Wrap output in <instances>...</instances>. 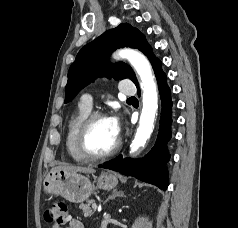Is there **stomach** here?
<instances>
[{"instance_id": "obj_1", "label": "stomach", "mask_w": 238, "mask_h": 228, "mask_svg": "<svg viewBox=\"0 0 238 228\" xmlns=\"http://www.w3.org/2000/svg\"><path fill=\"white\" fill-rule=\"evenodd\" d=\"M117 185L118 177L111 172H102L97 178L95 186L87 176L56 169L51 170L43 182L45 192L61 195L73 203L88 200L97 188L111 190Z\"/></svg>"}]
</instances>
